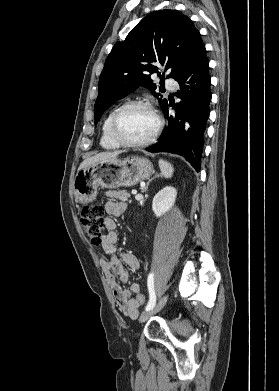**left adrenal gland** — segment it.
<instances>
[{"label": "left adrenal gland", "mask_w": 279, "mask_h": 391, "mask_svg": "<svg viewBox=\"0 0 279 391\" xmlns=\"http://www.w3.org/2000/svg\"><path fill=\"white\" fill-rule=\"evenodd\" d=\"M160 176H161V175L156 174L153 178H151V179L147 182L146 186L142 189V192H143V193L146 192L147 189H148V186H149L150 182H152V180H154L155 178H158V177H160Z\"/></svg>", "instance_id": "left-adrenal-gland-1"}]
</instances>
